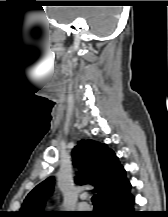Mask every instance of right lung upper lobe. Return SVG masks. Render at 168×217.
I'll return each instance as SVG.
<instances>
[{"label":"right lung upper lobe","mask_w":168,"mask_h":217,"mask_svg":"<svg viewBox=\"0 0 168 217\" xmlns=\"http://www.w3.org/2000/svg\"><path fill=\"white\" fill-rule=\"evenodd\" d=\"M73 163L80 169L76 183L91 184L98 193L99 205L122 193L130 182L115 153L105 144L91 139L81 140L72 150ZM54 177L38 184L25 198L19 217H49L55 212L43 211L46 199L53 192Z\"/></svg>","instance_id":"cb5924a9"}]
</instances>
